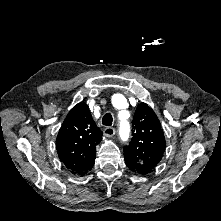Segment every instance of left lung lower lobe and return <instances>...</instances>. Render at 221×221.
I'll return each mask as SVG.
<instances>
[{"label": "left lung lower lobe", "mask_w": 221, "mask_h": 221, "mask_svg": "<svg viewBox=\"0 0 221 221\" xmlns=\"http://www.w3.org/2000/svg\"><path fill=\"white\" fill-rule=\"evenodd\" d=\"M125 162H126L127 167H128L131 171L136 172V173L143 174L142 171L139 170L140 168L137 166V164H136L134 161H132V160H130L129 158H126V157H125Z\"/></svg>", "instance_id": "obj_1"}]
</instances>
